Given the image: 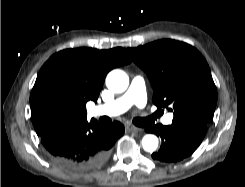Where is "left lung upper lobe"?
Instances as JSON below:
<instances>
[{"mask_svg":"<svg viewBox=\"0 0 245 187\" xmlns=\"http://www.w3.org/2000/svg\"><path fill=\"white\" fill-rule=\"evenodd\" d=\"M132 60L148 74L153 103L174 113L172 123L209 124L217 90L209 66L189 44L164 39L128 48Z\"/></svg>","mask_w":245,"mask_h":187,"instance_id":"left-lung-upper-lobe-1","label":"left lung upper lobe"}]
</instances>
